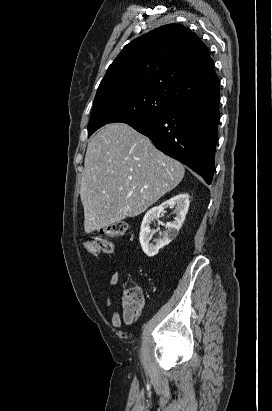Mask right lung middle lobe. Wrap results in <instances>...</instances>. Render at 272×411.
<instances>
[{"label": "right lung middle lobe", "instance_id": "obj_1", "mask_svg": "<svg viewBox=\"0 0 272 411\" xmlns=\"http://www.w3.org/2000/svg\"><path fill=\"white\" fill-rule=\"evenodd\" d=\"M178 103L168 92L131 88L96 94L88 125V137L105 124L134 123L159 114Z\"/></svg>", "mask_w": 272, "mask_h": 411}]
</instances>
